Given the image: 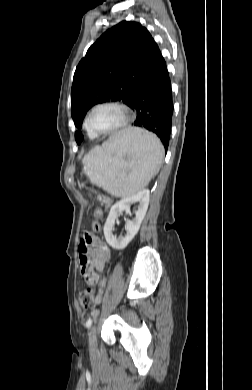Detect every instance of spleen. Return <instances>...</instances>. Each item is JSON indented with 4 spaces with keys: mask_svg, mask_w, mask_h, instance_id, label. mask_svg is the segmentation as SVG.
<instances>
[{
    "mask_svg": "<svg viewBox=\"0 0 252 390\" xmlns=\"http://www.w3.org/2000/svg\"><path fill=\"white\" fill-rule=\"evenodd\" d=\"M129 155L127 161L125 156ZM164 148L154 134L128 128L111 136L83 158V172L90 182L115 197H129L142 190L160 169Z\"/></svg>",
    "mask_w": 252,
    "mask_h": 390,
    "instance_id": "1",
    "label": "spleen"
}]
</instances>
